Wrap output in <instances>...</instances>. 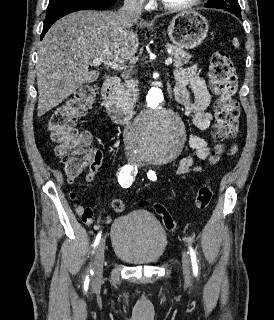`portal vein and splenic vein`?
<instances>
[{
  "mask_svg": "<svg viewBox=\"0 0 274 320\" xmlns=\"http://www.w3.org/2000/svg\"><path fill=\"white\" fill-rule=\"evenodd\" d=\"M92 66H101V64H104V66H107V68H113V70H126V68H122L120 64H115V62H109V60H104V58H94L91 62ZM166 66H170L172 64V58H167L165 60Z\"/></svg>",
  "mask_w": 274,
  "mask_h": 320,
  "instance_id": "obj_1",
  "label": "portal vein and splenic vein"
}]
</instances>
